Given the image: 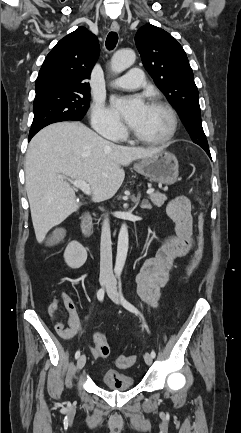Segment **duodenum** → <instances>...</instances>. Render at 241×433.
Masks as SVG:
<instances>
[{
  "label": "duodenum",
  "mask_w": 241,
  "mask_h": 433,
  "mask_svg": "<svg viewBox=\"0 0 241 433\" xmlns=\"http://www.w3.org/2000/svg\"><path fill=\"white\" fill-rule=\"evenodd\" d=\"M80 224H81V230H82L83 235L86 238H90L92 236L91 216L88 212L83 214Z\"/></svg>",
  "instance_id": "1"
}]
</instances>
